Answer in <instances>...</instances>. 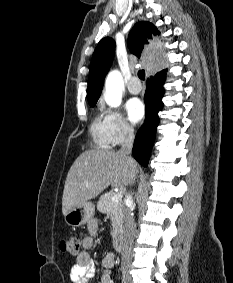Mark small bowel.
<instances>
[{
    "instance_id": "1",
    "label": "small bowel",
    "mask_w": 233,
    "mask_h": 283,
    "mask_svg": "<svg viewBox=\"0 0 233 283\" xmlns=\"http://www.w3.org/2000/svg\"><path fill=\"white\" fill-rule=\"evenodd\" d=\"M97 221L92 220L88 225V234L83 238L82 244L85 251L81 252L76 263L70 271V278L73 283H88L94 276L95 265L87 252L94 247V237L97 235ZM115 263L114 253H108L102 260L103 271L99 283H114L111 277V269Z\"/></svg>"
}]
</instances>
